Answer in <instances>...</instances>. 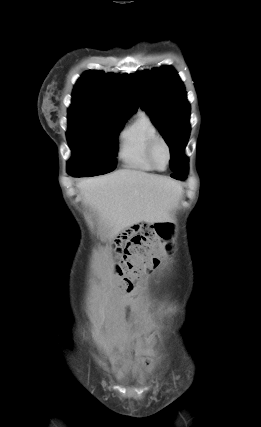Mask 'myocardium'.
<instances>
[{"label": "myocardium", "instance_id": "myocardium-1", "mask_svg": "<svg viewBox=\"0 0 261 427\" xmlns=\"http://www.w3.org/2000/svg\"><path fill=\"white\" fill-rule=\"evenodd\" d=\"M159 145L164 146V148L166 149V152H167V163H166L164 168L158 167L156 164V160H155L156 149ZM147 155H148L149 162L151 163L153 168L157 171H165L169 167V165L172 161L171 147H170L169 143L166 141V139L160 135L155 136L149 142Z\"/></svg>", "mask_w": 261, "mask_h": 427}]
</instances>
